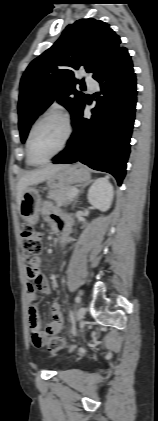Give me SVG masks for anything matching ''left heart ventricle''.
Wrapping results in <instances>:
<instances>
[{"label": "left heart ventricle", "instance_id": "b2bd125f", "mask_svg": "<svg viewBox=\"0 0 158 421\" xmlns=\"http://www.w3.org/2000/svg\"><path fill=\"white\" fill-rule=\"evenodd\" d=\"M65 136V126L57 117L43 120L35 128L31 143V157L36 162L49 158L62 144Z\"/></svg>", "mask_w": 158, "mask_h": 421}]
</instances>
